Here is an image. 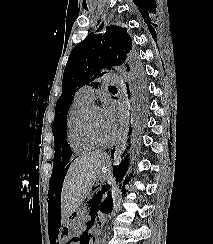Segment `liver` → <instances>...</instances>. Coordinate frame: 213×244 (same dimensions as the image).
Returning a JSON list of instances; mask_svg holds the SVG:
<instances>
[{
	"label": "liver",
	"mask_w": 213,
	"mask_h": 244,
	"mask_svg": "<svg viewBox=\"0 0 213 244\" xmlns=\"http://www.w3.org/2000/svg\"><path fill=\"white\" fill-rule=\"evenodd\" d=\"M106 154L95 152L82 154L71 163L62 186L61 192V214L62 221L78 208L81 202L89 195L101 163L105 160Z\"/></svg>",
	"instance_id": "liver-1"
}]
</instances>
